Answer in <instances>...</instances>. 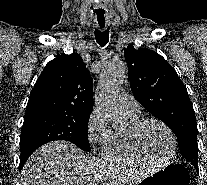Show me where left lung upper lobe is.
Here are the masks:
<instances>
[{"label":"left lung upper lobe","instance_id":"1","mask_svg":"<svg viewBox=\"0 0 207 185\" xmlns=\"http://www.w3.org/2000/svg\"><path fill=\"white\" fill-rule=\"evenodd\" d=\"M128 78L137 101L176 135L182 156L198 159L197 123L187 89L173 67L155 51L132 44L124 50Z\"/></svg>","mask_w":207,"mask_h":185}]
</instances>
